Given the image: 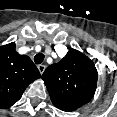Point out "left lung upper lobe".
Instances as JSON below:
<instances>
[{
    "label": "left lung upper lobe",
    "instance_id": "1",
    "mask_svg": "<svg viewBox=\"0 0 117 117\" xmlns=\"http://www.w3.org/2000/svg\"><path fill=\"white\" fill-rule=\"evenodd\" d=\"M98 73L91 59L70 49L58 63L42 75L52 103L61 110L74 111L94 96Z\"/></svg>",
    "mask_w": 117,
    "mask_h": 117
}]
</instances>
